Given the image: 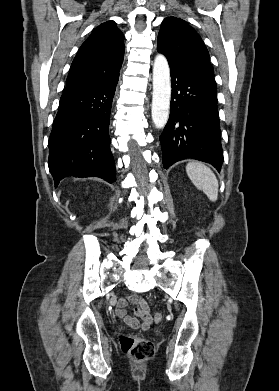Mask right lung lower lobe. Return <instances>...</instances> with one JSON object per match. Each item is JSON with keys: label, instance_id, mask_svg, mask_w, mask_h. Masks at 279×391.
Returning <instances> with one entry per match:
<instances>
[{"label": "right lung lower lobe", "instance_id": "98d812e1", "mask_svg": "<svg viewBox=\"0 0 279 391\" xmlns=\"http://www.w3.org/2000/svg\"><path fill=\"white\" fill-rule=\"evenodd\" d=\"M119 74L100 84L65 92L49 138V171L55 186L69 176L116 181L109 120Z\"/></svg>", "mask_w": 279, "mask_h": 391}]
</instances>
